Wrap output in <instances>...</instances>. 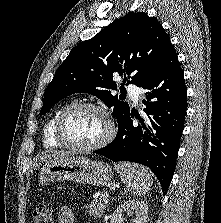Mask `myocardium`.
I'll return each instance as SVG.
<instances>
[{
    "label": "myocardium",
    "mask_w": 221,
    "mask_h": 223,
    "mask_svg": "<svg viewBox=\"0 0 221 223\" xmlns=\"http://www.w3.org/2000/svg\"><path fill=\"white\" fill-rule=\"evenodd\" d=\"M83 109H91V110H95L101 113L105 117L108 124V131L105 134V136L101 140L96 142L95 144L87 145V146L71 143L70 141L66 139L64 135V124H65L66 119L73 112L78 111V110H83ZM115 134H116V126L110 113L102 106L98 104H94V103H89V102H77V103L68 105L60 113L55 125V129H54V137L61 145H63L64 147L70 150L78 151V152L97 151L107 146L114 139Z\"/></svg>",
    "instance_id": "f54148a6"
}]
</instances>
